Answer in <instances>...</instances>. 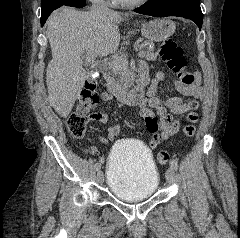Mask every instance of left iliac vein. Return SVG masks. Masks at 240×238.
<instances>
[{
  "instance_id": "obj_1",
  "label": "left iliac vein",
  "mask_w": 240,
  "mask_h": 238,
  "mask_svg": "<svg viewBox=\"0 0 240 238\" xmlns=\"http://www.w3.org/2000/svg\"><path fill=\"white\" fill-rule=\"evenodd\" d=\"M166 180L169 184H172L175 180V172H174V169L173 168H169L167 171H166Z\"/></svg>"
}]
</instances>
